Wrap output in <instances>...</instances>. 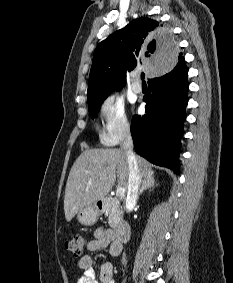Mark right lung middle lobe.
Here are the masks:
<instances>
[{
    "label": "right lung middle lobe",
    "mask_w": 233,
    "mask_h": 283,
    "mask_svg": "<svg viewBox=\"0 0 233 283\" xmlns=\"http://www.w3.org/2000/svg\"><path fill=\"white\" fill-rule=\"evenodd\" d=\"M101 104L102 103L89 106V111H90V115H91L92 118H95L97 116Z\"/></svg>",
    "instance_id": "right-lung-middle-lobe-1"
}]
</instances>
